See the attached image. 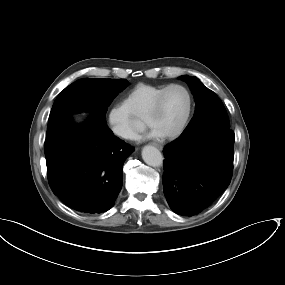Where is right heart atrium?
Listing matches in <instances>:
<instances>
[{
	"label": "right heart atrium",
	"mask_w": 285,
	"mask_h": 285,
	"mask_svg": "<svg viewBox=\"0 0 285 285\" xmlns=\"http://www.w3.org/2000/svg\"><path fill=\"white\" fill-rule=\"evenodd\" d=\"M106 122L110 131L122 140L130 141L137 136L136 118L123 103L113 104L107 108Z\"/></svg>",
	"instance_id": "d8ad5b80"
}]
</instances>
